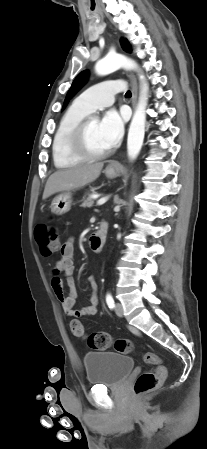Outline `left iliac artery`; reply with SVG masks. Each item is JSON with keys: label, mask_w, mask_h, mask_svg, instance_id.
Here are the masks:
<instances>
[{"label": "left iliac artery", "mask_w": 207, "mask_h": 449, "mask_svg": "<svg viewBox=\"0 0 207 449\" xmlns=\"http://www.w3.org/2000/svg\"><path fill=\"white\" fill-rule=\"evenodd\" d=\"M106 303H107V305H108V307L110 309H114L115 308V302H114V299H113V297H112V295L110 293H107V295H106Z\"/></svg>", "instance_id": "obj_1"}]
</instances>
